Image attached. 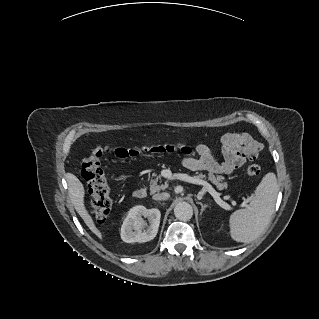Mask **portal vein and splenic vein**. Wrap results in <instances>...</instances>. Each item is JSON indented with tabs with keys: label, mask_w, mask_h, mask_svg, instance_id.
<instances>
[{
	"label": "portal vein and splenic vein",
	"mask_w": 319,
	"mask_h": 319,
	"mask_svg": "<svg viewBox=\"0 0 319 319\" xmlns=\"http://www.w3.org/2000/svg\"><path fill=\"white\" fill-rule=\"evenodd\" d=\"M179 180H183L189 183H194V184H199L204 186V190L208 191L211 196L214 198L215 202L220 205L224 209H229L230 206L225 203L221 198H220V193H218L210 184H208L206 181L199 179L197 177H191L186 174H174L173 177H175ZM172 173L168 176V179H173Z\"/></svg>",
	"instance_id": "obj_1"
}]
</instances>
